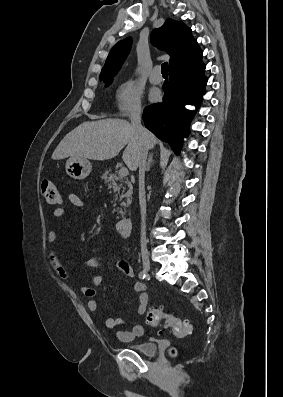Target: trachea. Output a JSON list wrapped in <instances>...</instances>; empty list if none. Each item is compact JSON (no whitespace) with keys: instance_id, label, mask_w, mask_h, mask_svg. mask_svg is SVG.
I'll return each mask as SVG.
<instances>
[{"instance_id":"3493384b","label":"trachea","mask_w":283,"mask_h":397,"mask_svg":"<svg viewBox=\"0 0 283 397\" xmlns=\"http://www.w3.org/2000/svg\"><path fill=\"white\" fill-rule=\"evenodd\" d=\"M161 69H162V75H167L168 74V62H164L161 65Z\"/></svg>"}]
</instances>
